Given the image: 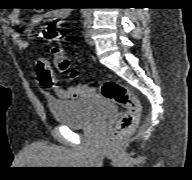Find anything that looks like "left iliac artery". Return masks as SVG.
I'll return each instance as SVG.
<instances>
[{
	"label": "left iliac artery",
	"instance_id": "44dca946",
	"mask_svg": "<svg viewBox=\"0 0 192 180\" xmlns=\"http://www.w3.org/2000/svg\"><path fill=\"white\" fill-rule=\"evenodd\" d=\"M89 23H90V17L87 16V19L85 20V23H84L85 27H86Z\"/></svg>",
	"mask_w": 192,
	"mask_h": 180
}]
</instances>
